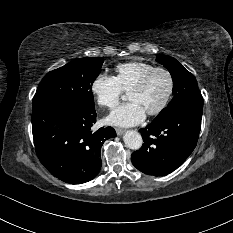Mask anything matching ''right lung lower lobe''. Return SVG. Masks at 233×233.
I'll use <instances>...</instances> for the list:
<instances>
[{"mask_svg":"<svg viewBox=\"0 0 233 233\" xmlns=\"http://www.w3.org/2000/svg\"><path fill=\"white\" fill-rule=\"evenodd\" d=\"M96 112L66 104L32 106L36 154L60 180L80 184L94 179L101 168L104 141L116 136L112 127L92 131Z\"/></svg>","mask_w":233,"mask_h":233,"instance_id":"right-lung-lower-lobe-1","label":"right lung lower lobe"}]
</instances>
